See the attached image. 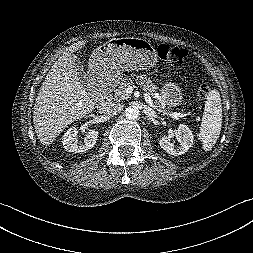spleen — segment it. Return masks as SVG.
<instances>
[{
    "label": "spleen",
    "instance_id": "spleen-1",
    "mask_svg": "<svg viewBox=\"0 0 253 253\" xmlns=\"http://www.w3.org/2000/svg\"><path fill=\"white\" fill-rule=\"evenodd\" d=\"M222 127V105L220 94L211 90L205 102L204 114L200 127V140L205 151L213 148L219 138Z\"/></svg>",
    "mask_w": 253,
    "mask_h": 253
}]
</instances>
